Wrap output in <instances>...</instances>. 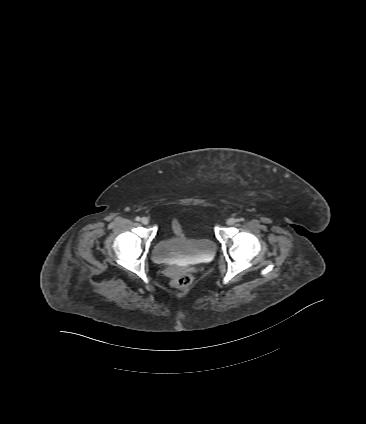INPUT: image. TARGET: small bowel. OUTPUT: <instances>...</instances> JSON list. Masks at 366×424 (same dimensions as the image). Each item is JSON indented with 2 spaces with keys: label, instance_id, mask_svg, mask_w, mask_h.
<instances>
[{
  "label": "small bowel",
  "instance_id": "obj_1",
  "mask_svg": "<svg viewBox=\"0 0 366 424\" xmlns=\"http://www.w3.org/2000/svg\"><path fill=\"white\" fill-rule=\"evenodd\" d=\"M172 230L176 234L179 233L180 227H179V224H178L177 221H173V223H172Z\"/></svg>",
  "mask_w": 366,
  "mask_h": 424
}]
</instances>
